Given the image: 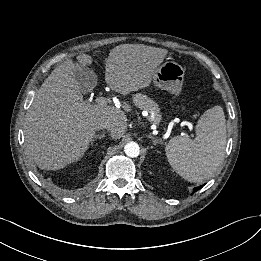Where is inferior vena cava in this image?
<instances>
[{"instance_id": "602c4592", "label": "inferior vena cava", "mask_w": 261, "mask_h": 261, "mask_svg": "<svg viewBox=\"0 0 261 261\" xmlns=\"http://www.w3.org/2000/svg\"><path fill=\"white\" fill-rule=\"evenodd\" d=\"M99 129H107L108 131H112V126L109 123L105 122L99 126Z\"/></svg>"}]
</instances>
